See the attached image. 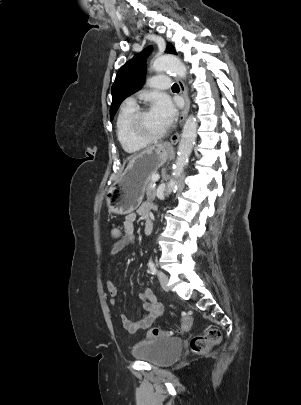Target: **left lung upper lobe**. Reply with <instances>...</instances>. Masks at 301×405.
<instances>
[{"label":"left lung upper lobe","mask_w":301,"mask_h":405,"mask_svg":"<svg viewBox=\"0 0 301 405\" xmlns=\"http://www.w3.org/2000/svg\"><path fill=\"white\" fill-rule=\"evenodd\" d=\"M150 50L151 47L144 49L140 54L129 60L117 73L116 79L111 88V120L117 112L121 102L143 86L146 71V58L148 57V51ZM165 52L176 54L175 48L170 43L167 44Z\"/></svg>","instance_id":"left-lung-upper-lobe-1"}]
</instances>
